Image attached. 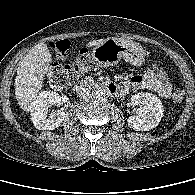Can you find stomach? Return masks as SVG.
Listing matches in <instances>:
<instances>
[{
  "instance_id": "stomach-1",
  "label": "stomach",
  "mask_w": 195,
  "mask_h": 195,
  "mask_svg": "<svg viewBox=\"0 0 195 195\" xmlns=\"http://www.w3.org/2000/svg\"><path fill=\"white\" fill-rule=\"evenodd\" d=\"M91 56L93 62L102 67L115 65L121 58L135 66L145 60V52L138 43L118 38H107L93 48Z\"/></svg>"
}]
</instances>
